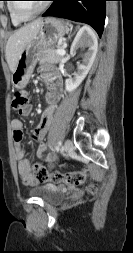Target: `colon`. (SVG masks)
<instances>
[{
    "mask_svg": "<svg viewBox=\"0 0 133 253\" xmlns=\"http://www.w3.org/2000/svg\"><path fill=\"white\" fill-rule=\"evenodd\" d=\"M28 105V94L26 91L19 90L13 94L12 108L21 112ZM35 177L39 182L65 183L69 185H81L87 178L85 170L71 171L62 173L57 170L49 171L45 166L35 164L33 167ZM90 192L94 193L97 188L95 185H90Z\"/></svg>",
    "mask_w": 133,
    "mask_h": 253,
    "instance_id": "5ec220e1",
    "label": "colon"
}]
</instances>
